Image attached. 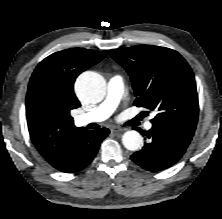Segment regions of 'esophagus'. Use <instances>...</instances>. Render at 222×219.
<instances>
[{"instance_id": "esophagus-1", "label": "esophagus", "mask_w": 222, "mask_h": 219, "mask_svg": "<svg viewBox=\"0 0 222 219\" xmlns=\"http://www.w3.org/2000/svg\"><path fill=\"white\" fill-rule=\"evenodd\" d=\"M124 130H125V129H123V128L114 127V128L112 129V132L118 133V132H122V131H124Z\"/></svg>"}]
</instances>
